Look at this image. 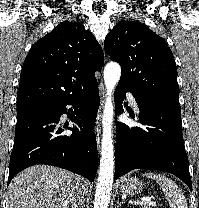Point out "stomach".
Instances as JSON below:
<instances>
[{
	"label": "stomach",
	"mask_w": 199,
	"mask_h": 208,
	"mask_svg": "<svg viewBox=\"0 0 199 208\" xmlns=\"http://www.w3.org/2000/svg\"><path fill=\"white\" fill-rule=\"evenodd\" d=\"M120 191L127 195H136L143 190L142 182L136 177H125L120 180Z\"/></svg>",
	"instance_id": "obj_1"
}]
</instances>
